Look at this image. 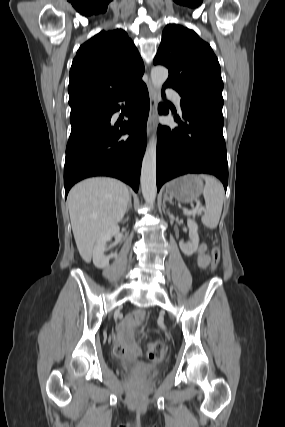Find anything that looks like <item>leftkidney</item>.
<instances>
[{
	"mask_svg": "<svg viewBox=\"0 0 285 427\" xmlns=\"http://www.w3.org/2000/svg\"><path fill=\"white\" fill-rule=\"evenodd\" d=\"M187 225L189 228V241L184 243L183 241L179 242L181 251L187 255L191 256L194 254L199 245V235H198V226L195 221L190 218L187 220Z\"/></svg>",
	"mask_w": 285,
	"mask_h": 427,
	"instance_id": "obj_1",
	"label": "left kidney"
}]
</instances>
